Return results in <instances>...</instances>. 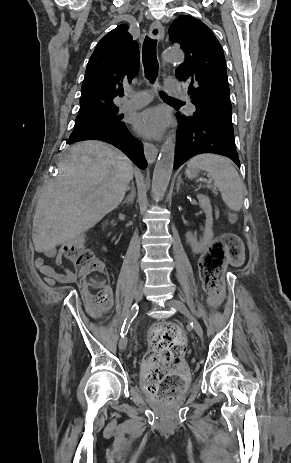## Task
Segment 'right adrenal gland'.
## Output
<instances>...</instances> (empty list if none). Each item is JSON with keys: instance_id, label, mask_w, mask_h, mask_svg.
Here are the masks:
<instances>
[{"instance_id": "obj_1", "label": "right adrenal gland", "mask_w": 291, "mask_h": 463, "mask_svg": "<svg viewBox=\"0 0 291 463\" xmlns=\"http://www.w3.org/2000/svg\"><path fill=\"white\" fill-rule=\"evenodd\" d=\"M135 196H136L135 188L134 186H132L130 194L126 197V199L124 200L122 204H127V205L133 204Z\"/></svg>"}]
</instances>
